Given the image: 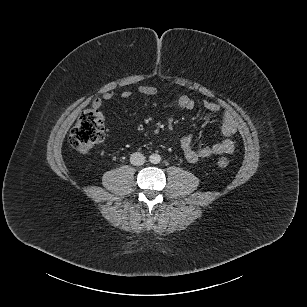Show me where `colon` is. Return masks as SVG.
Here are the masks:
<instances>
[{
	"label": "colon",
	"instance_id": "obj_1",
	"mask_svg": "<svg viewBox=\"0 0 307 307\" xmlns=\"http://www.w3.org/2000/svg\"><path fill=\"white\" fill-rule=\"evenodd\" d=\"M105 136L104 123L97 110L90 107L82 112L70 132L69 142L80 153H86L101 143ZM218 165L226 168L229 160L226 157L218 159Z\"/></svg>",
	"mask_w": 307,
	"mask_h": 307
}]
</instances>
